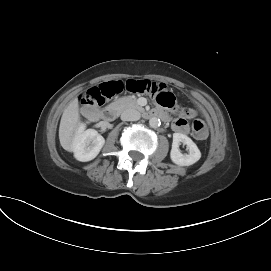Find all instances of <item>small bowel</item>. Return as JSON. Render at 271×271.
I'll list each match as a JSON object with an SVG mask.
<instances>
[{
	"mask_svg": "<svg viewBox=\"0 0 271 271\" xmlns=\"http://www.w3.org/2000/svg\"><path fill=\"white\" fill-rule=\"evenodd\" d=\"M158 86L160 88H163L165 86V83L163 81H160L158 83ZM172 127L176 132H178L180 134H188V132H189L188 122L186 121V119H184L182 117L174 120Z\"/></svg>",
	"mask_w": 271,
	"mask_h": 271,
	"instance_id": "c3829d8e",
	"label": "small bowel"
}]
</instances>
